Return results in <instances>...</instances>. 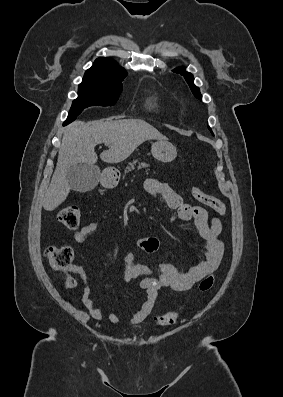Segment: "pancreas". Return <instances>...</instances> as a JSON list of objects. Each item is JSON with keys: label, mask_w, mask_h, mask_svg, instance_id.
<instances>
[{"label": "pancreas", "mask_w": 283, "mask_h": 397, "mask_svg": "<svg viewBox=\"0 0 283 397\" xmlns=\"http://www.w3.org/2000/svg\"><path fill=\"white\" fill-rule=\"evenodd\" d=\"M137 163H138V169L149 167L147 163H139L137 161H133L132 163H129V166L126 168L125 174L134 170Z\"/></svg>", "instance_id": "obj_1"}]
</instances>
